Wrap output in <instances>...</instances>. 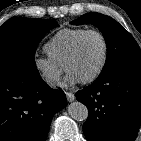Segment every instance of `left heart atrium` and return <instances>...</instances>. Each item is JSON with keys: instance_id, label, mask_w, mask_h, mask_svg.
<instances>
[{"instance_id": "left-heart-atrium-1", "label": "left heart atrium", "mask_w": 141, "mask_h": 141, "mask_svg": "<svg viewBox=\"0 0 141 141\" xmlns=\"http://www.w3.org/2000/svg\"><path fill=\"white\" fill-rule=\"evenodd\" d=\"M79 82H81V79L74 72L68 71L67 76L63 82V85L66 87H70Z\"/></svg>"}]
</instances>
